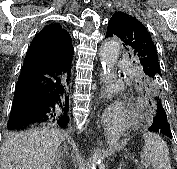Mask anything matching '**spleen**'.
<instances>
[{
	"instance_id": "1",
	"label": "spleen",
	"mask_w": 177,
	"mask_h": 169,
	"mask_svg": "<svg viewBox=\"0 0 177 169\" xmlns=\"http://www.w3.org/2000/svg\"><path fill=\"white\" fill-rule=\"evenodd\" d=\"M145 144L141 157L145 165H151L154 169H172L169 149L166 142L155 133L146 132L143 134Z\"/></svg>"
}]
</instances>
